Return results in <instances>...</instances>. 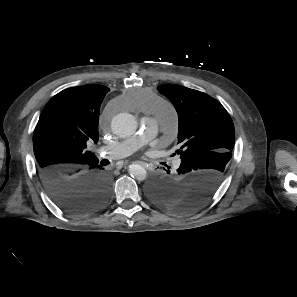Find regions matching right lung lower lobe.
I'll return each instance as SVG.
<instances>
[{"label":"right lung lower lobe","instance_id":"98d812e1","mask_svg":"<svg viewBox=\"0 0 297 297\" xmlns=\"http://www.w3.org/2000/svg\"><path fill=\"white\" fill-rule=\"evenodd\" d=\"M41 182L52 200L72 214H88L103 207L110 178L98 161L78 170L39 169Z\"/></svg>","mask_w":297,"mask_h":297}]
</instances>
